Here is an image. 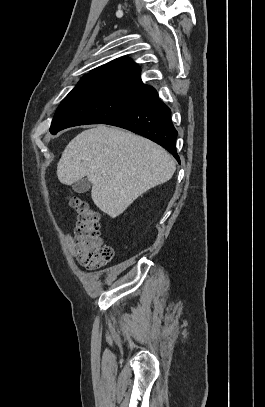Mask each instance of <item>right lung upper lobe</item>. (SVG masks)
<instances>
[{
    "mask_svg": "<svg viewBox=\"0 0 265 407\" xmlns=\"http://www.w3.org/2000/svg\"><path fill=\"white\" fill-rule=\"evenodd\" d=\"M140 74L141 70L135 62L130 58H120L94 69L93 72L85 76L110 77L145 85Z\"/></svg>",
    "mask_w": 265,
    "mask_h": 407,
    "instance_id": "obj_1",
    "label": "right lung upper lobe"
}]
</instances>
